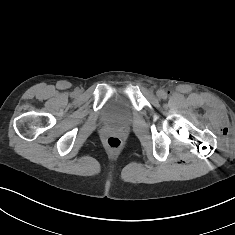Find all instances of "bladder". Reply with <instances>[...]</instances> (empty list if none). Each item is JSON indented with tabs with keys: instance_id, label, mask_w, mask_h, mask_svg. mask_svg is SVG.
<instances>
[{
	"instance_id": "bladder-1",
	"label": "bladder",
	"mask_w": 235,
	"mask_h": 235,
	"mask_svg": "<svg viewBox=\"0 0 235 235\" xmlns=\"http://www.w3.org/2000/svg\"><path fill=\"white\" fill-rule=\"evenodd\" d=\"M102 120L111 125H123L131 120L132 104L124 93L113 95L106 101L100 112Z\"/></svg>"
}]
</instances>
